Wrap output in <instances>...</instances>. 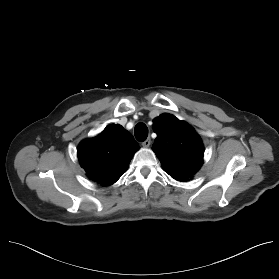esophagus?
<instances>
[{"mask_svg":"<svg viewBox=\"0 0 279 279\" xmlns=\"http://www.w3.org/2000/svg\"><path fill=\"white\" fill-rule=\"evenodd\" d=\"M151 145V139L147 138L144 142H142L143 147H149Z\"/></svg>","mask_w":279,"mask_h":279,"instance_id":"34e87169","label":"esophagus"}]
</instances>
